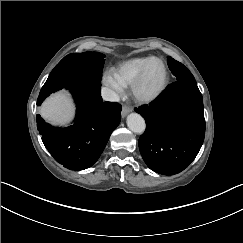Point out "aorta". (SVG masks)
Masks as SVG:
<instances>
[{
    "mask_svg": "<svg viewBox=\"0 0 243 243\" xmlns=\"http://www.w3.org/2000/svg\"><path fill=\"white\" fill-rule=\"evenodd\" d=\"M128 128L136 134L142 135L146 130L145 120L139 114H131L127 118Z\"/></svg>",
    "mask_w": 243,
    "mask_h": 243,
    "instance_id": "obj_1",
    "label": "aorta"
}]
</instances>
